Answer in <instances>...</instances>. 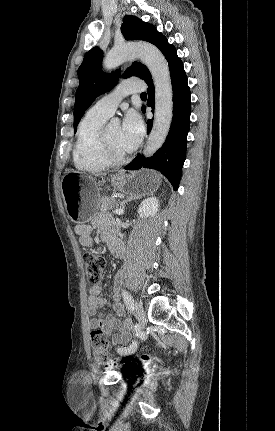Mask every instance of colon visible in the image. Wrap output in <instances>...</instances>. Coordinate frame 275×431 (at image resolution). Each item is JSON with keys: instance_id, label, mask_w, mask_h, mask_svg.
Returning <instances> with one entry per match:
<instances>
[{"instance_id": "1", "label": "colon", "mask_w": 275, "mask_h": 431, "mask_svg": "<svg viewBox=\"0 0 275 431\" xmlns=\"http://www.w3.org/2000/svg\"><path fill=\"white\" fill-rule=\"evenodd\" d=\"M83 265L86 271L87 279L90 283H98L104 273L105 260L102 256L87 252L83 255ZM90 341L96 361L106 367H112L118 361L112 360L108 355V340L105 333L101 329H92L90 332ZM144 362L153 363L158 362L159 359L154 356H143ZM121 363L128 364L130 360L127 358L121 360Z\"/></svg>"}]
</instances>
